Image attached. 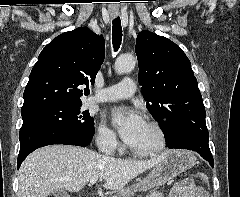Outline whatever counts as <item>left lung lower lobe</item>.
I'll use <instances>...</instances> for the list:
<instances>
[{
  "label": "left lung lower lobe",
  "mask_w": 240,
  "mask_h": 197,
  "mask_svg": "<svg viewBox=\"0 0 240 197\" xmlns=\"http://www.w3.org/2000/svg\"><path fill=\"white\" fill-rule=\"evenodd\" d=\"M205 114L203 101H192L185 111L164 120L165 139L168 148L196 151L214 167Z\"/></svg>",
  "instance_id": "0a47b994"
}]
</instances>
